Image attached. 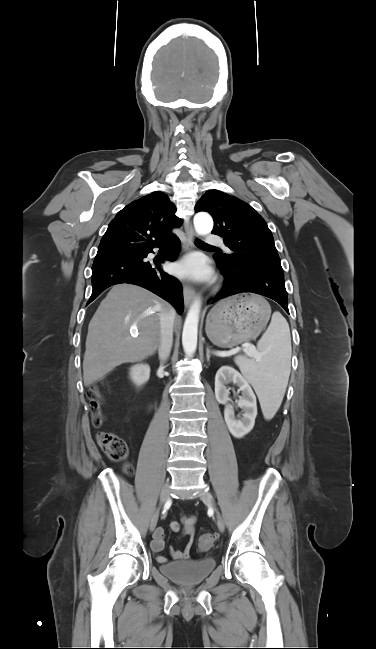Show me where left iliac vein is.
<instances>
[{
  "label": "left iliac vein",
  "mask_w": 376,
  "mask_h": 649,
  "mask_svg": "<svg viewBox=\"0 0 376 649\" xmlns=\"http://www.w3.org/2000/svg\"><path fill=\"white\" fill-rule=\"evenodd\" d=\"M200 498H201V500L203 502L208 504L215 511L218 529H219L220 532H223L224 529H225L224 520H223L222 515L220 514V512L216 508V504H215V501H214V498L212 497V495L210 493H208V492H203V493H201Z\"/></svg>",
  "instance_id": "4c4485c4"
}]
</instances>
